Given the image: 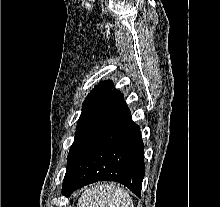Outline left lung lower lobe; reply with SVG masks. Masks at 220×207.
<instances>
[{
	"mask_svg": "<svg viewBox=\"0 0 220 207\" xmlns=\"http://www.w3.org/2000/svg\"><path fill=\"white\" fill-rule=\"evenodd\" d=\"M145 174L140 128L114 87L78 126L67 158L62 194L102 180L119 182L140 197Z\"/></svg>",
	"mask_w": 220,
	"mask_h": 207,
	"instance_id": "left-lung-lower-lobe-1",
	"label": "left lung lower lobe"
}]
</instances>
